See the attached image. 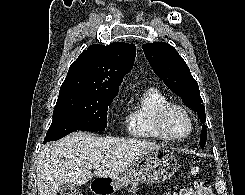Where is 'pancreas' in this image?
<instances>
[{
    "instance_id": "obj_1",
    "label": "pancreas",
    "mask_w": 245,
    "mask_h": 195,
    "mask_svg": "<svg viewBox=\"0 0 245 195\" xmlns=\"http://www.w3.org/2000/svg\"><path fill=\"white\" fill-rule=\"evenodd\" d=\"M138 190V184L135 183L133 184L129 189H128V193H132V194H135Z\"/></svg>"
}]
</instances>
